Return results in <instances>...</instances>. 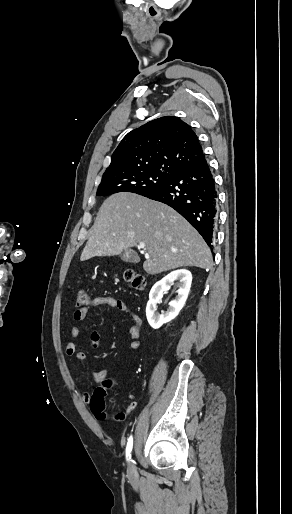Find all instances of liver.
<instances>
[{
    "label": "liver",
    "instance_id": "6515ba94",
    "mask_svg": "<svg viewBox=\"0 0 292 514\" xmlns=\"http://www.w3.org/2000/svg\"><path fill=\"white\" fill-rule=\"evenodd\" d=\"M138 244L147 252V274L181 266L210 270L213 264L210 248L185 218L166 204L131 192L113 194L103 202L80 260L118 256Z\"/></svg>",
    "mask_w": 292,
    "mask_h": 514
}]
</instances>
